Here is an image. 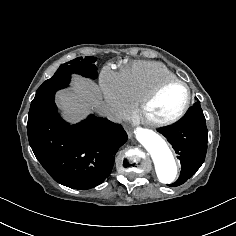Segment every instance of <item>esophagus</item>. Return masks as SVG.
<instances>
[{
  "mask_svg": "<svg viewBox=\"0 0 236 236\" xmlns=\"http://www.w3.org/2000/svg\"><path fill=\"white\" fill-rule=\"evenodd\" d=\"M128 135H129V137H131V136H132V135H131V133H129Z\"/></svg>",
  "mask_w": 236,
  "mask_h": 236,
  "instance_id": "esophagus-1",
  "label": "esophagus"
}]
</instances>
